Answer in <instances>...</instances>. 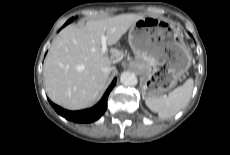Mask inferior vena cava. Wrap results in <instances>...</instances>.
<instances>
[{
    "mask_svg": "<svg viewBox=\"0 0 230 155\" xmlns=\"http://www.w3.org/2000/svg\"><path fill=\"white\" fill-rule=\"evenodd\" d=\"M112 67L111 66H108V67H105L104 68V71L106 72V73H108V74H110L111 73V71H112Z\"/></svg>",
    "mask_w": 230,
    "mask_h": 155,
    "instance_id": "inferior-vena-cava-1",
    "label": "inferior vena cava"
}]
</instances>
